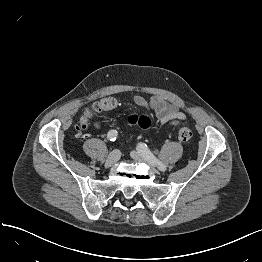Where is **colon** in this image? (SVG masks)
Instances as JSON below:
<instances>
[{"mask_svg": "<svg viewBox=\"0 0 262 262\" xmlns=\"http://www.w3.org/2000/svg\"><path fill=\"white\" fill-rule=\"evenodd\" d=\"M127 122L129 125L139 127L143 130H148L152 127V121L146 115H131L127 118ZM82 127H85L84 123ZM191 137V129L187 125L182 124L178 129V139L181 142H188Z\"/></svg>", "mask_w": 262, "mask_h": 262, "instance_id": "obj_1", "label": "colon"}]
</instances>
